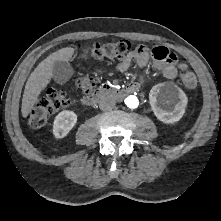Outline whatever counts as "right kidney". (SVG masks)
<instances>
[{"mask_svg":"<svg viewBox=\"0 0 221 221\" xmlns=\"http://www.w3.org/2000/svg\"><path fill=\"white\" fill-rule=\"evenodd\" d=\"M77 115L73 111L65 110L60 112L53 122V134L56 138L65 137L75 126Z\"/></svg>","mask_w":221,"mask_h":221,"instance_id":"1","label":"right kidney"}]
</instances>
